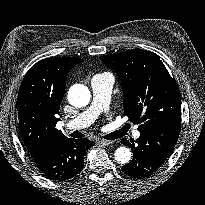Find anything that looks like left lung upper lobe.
I'll use <instances>...</instances> for the list:
<instances>
[{"label": "left lung upper lobe", "instance_id": "5c2ea615", "mask_svg": "<svg viewBox=\"0 0 205 205\" xmlns=\"http://www.w3.org/2000/svg\"><path fill=\"white\" fill-rule=\"evenodd\" d=\"M100 59L121 80L124 113L139 131L181 122L179 88L158 55L132 49Z\"/></svg>", "mask_w": 205, "mask_h": 205}]
</instances>
